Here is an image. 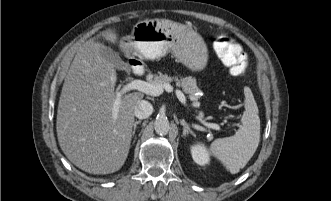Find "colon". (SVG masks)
<instances>
[{"label": "colon", "instance_id": "5ec220e1", "mask_svg": "<svg viewBox=\"0 0 331 201\" xmlns=\"http://www.w3.org/2000/svg\"><path fill=\"white\" fill-rule=\"evenodd\" d=\"M215 50L232 76H241L247 68V57L241 46L228 36H221L215 42Z\"/></svg>", "mask_w": 331, "mask_h": 201}]
</instances>
